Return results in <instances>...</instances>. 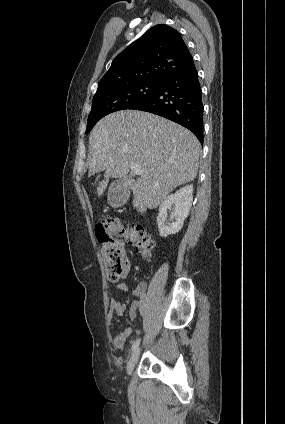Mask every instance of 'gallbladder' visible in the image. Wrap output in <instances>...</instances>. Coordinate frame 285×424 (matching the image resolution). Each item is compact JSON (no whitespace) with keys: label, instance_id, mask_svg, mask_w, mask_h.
Wrapping results in <instances>:
<instances>
[{"label":"gallbladder","instance_id":"bac80fb5","mask_svg":"<svg viewBox=\"0 0 285 424\" xmlns=\"http://www.w3.org/2000/svg\"><path fill=\"white\" fill-rule=\"evenodd\" d=\"M124 184H128V180L127 179H120V180H117L115 183H114V186H116V185H124Z\"/></svg>","mask_w":285,"mask_h":424}]
</instances>
